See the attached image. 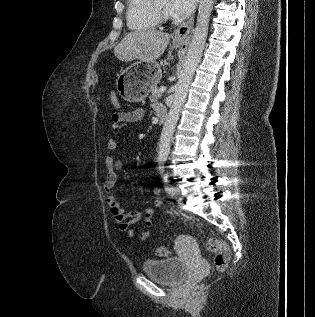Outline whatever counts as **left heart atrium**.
I'll return each mask as SVG.
<instances>
[{
    "label": "left heart atrium",
    "instance_id": "left-heart-atrium-1",
    "mask_svg": "<svg viewBox=\"0 0 315 317\" xmlns=\"http://www.w3.org/2000/svg\"><path fill=\"white\" fill-rule=\"evenodd\" d=\"M194 4L195 0H167L166 14L173 18H185L193 11Z\"/></svg>",
    "mask_w": 315,
    "mask_h": 317
}]
</instances>
